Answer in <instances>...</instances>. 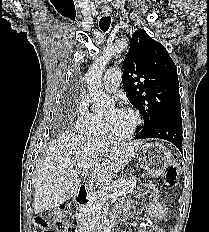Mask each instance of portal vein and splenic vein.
Returning <instances> with one entry per match:
<instances>
[{"label":"portal vein and splenic vein","mask_w":209,"mask_h":232,"mask_svg":"<svg viewBox=\"0 0 209 232\" xmlns=\"http://www.w3.org/2000/svg\"><path fill=\"white\" fill-rule=\"evenodd\" d=\"M88 169H90V166H84L83 169H82V172L86 173L88 171ZM96 193H97V196L99 197V199L102 202H105L108 199H116V198L123 195V192L120 191V190L115 191L113 194H110V195L107 192H105V191H103L101 189L96 190Z\"/></svg>","instance_id":"portal-vein-and-splenic-vein-1"}]
</instances>
